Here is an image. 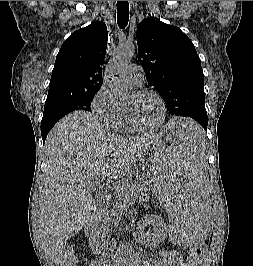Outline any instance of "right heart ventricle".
<instances>
[{
	"label": "right heart ventricle",
	"instance_id": "right-heart-ventricle-1",
	"mask_svg": "<svg viewBox=\"0 0 253 266\" xmlns=\"http://www.w3.org/2000/svg\"><path fill=\"white\" fill-rule=\"evenodd\" d=\"M112 126L119 131L130 132L132 129L129 126L127 116L123 107L120 106V112L112 123Z\"/></svg>",
	"mask_w": 253,
	"mask_h": 266
}]
</instances>
